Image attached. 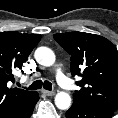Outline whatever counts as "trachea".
<instances>
[{
    "label": "trachea",
    "instance_id": "3493384b",
    "mask_svg": "<svg viewBox=\"0 0 118 118\" xmlns=\"http://www.w3.org/2000/svg\"><path fill=\"white\" fill-rule=\"evenodd\" d=\"M42 87L46 90L51 91L52 84L49 81L36 80L27 89L36 90V89H40Z\"/></svg>",
    "mask_w": 118,
    "mask_h": 118
}]
</instances>
